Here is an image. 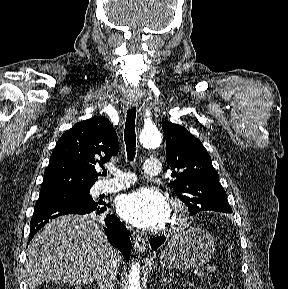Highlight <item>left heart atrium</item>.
Listing matches in <instances>:
<instances>
[{
    "mask_svg": "<svg viewBox=\"0 0 288 289\" xmlns=\"http://www.w3.org/2000/svg\"><path fill=\"white\" fill-rule=\"evenodd\" d=\"M116 209L126 221L142 228L162 226L170 216L169 204L165 197L147 187L120 196L116 202Z\"/></svg>",
    "mask_w": 288,
    "mask_h": 289,
    "instance_id": "obj_1",
    "label": "left heart atrium"
}]
</instances>
